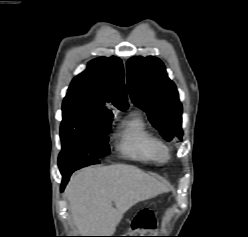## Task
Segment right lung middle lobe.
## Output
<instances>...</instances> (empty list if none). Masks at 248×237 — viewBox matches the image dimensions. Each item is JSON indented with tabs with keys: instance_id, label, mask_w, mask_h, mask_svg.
<instances>
[{
	"instance_id": "obj_1",
	"label": "right lung middle lobe",
	"mask_w": 248,
	"mask_h": 237,
	"mask_svg": "<svg viewBox=\"0 0 248 237\" xmlns=\"http://www.w3.org/2000/svg\"><path fill=\"white\" fill-rule=\"evenodd\" d=\"M59 160L100 158L109 153L108 134L113 116H99L74 106H63Z\"/></svg>"
}]
</instances>
